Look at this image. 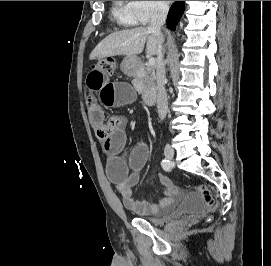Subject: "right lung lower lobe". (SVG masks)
I'll use <instances>...</instances> for the list:
<instances>
[{"mask_svg": "<svg viewBox=\"0 0 271 266\" xmlns=\"http://www.w3.org/2000/svg\"><path fill=\"white\" fill-rule=\"evenodd\" d=\"M184 1L174 2L169 10L168 16H167V27L171 30L175 29V26L177 25L179 19L181 18L183 12H184Z\"/></svg>", "mask_w": 271, "mask_h": 266, "instance_id": "98d812e1", "label": "right lung lower lobe"}]
</instances>
